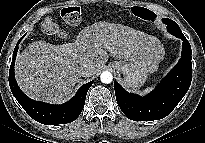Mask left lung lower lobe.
I'll use <instances>...</instances> for the list:
<instances>
[{"mask_svg":"<svg viewBox=\"0 0 205 143\" xmlns=\"http://www.w3.org/2000/svg\"><path fill=\"white\" fill-rule=\"evenodd\" d=\"M168 32L183 41L182 56L177 65L156 89L145 97L125 91L114 82L117 103L122 112L134 121H152L166 117L187 93L192 80V51L176 22L167 24Z\"/></svg>","mask_w":205,"mask_h":143,"instance_id":"1","label":"left lung lower lobe"}]
</instances>
